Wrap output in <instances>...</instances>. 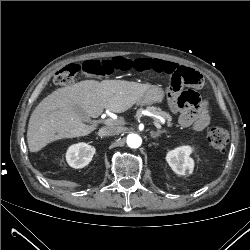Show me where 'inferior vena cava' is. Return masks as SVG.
Segmentation results:
<instances>
[{
    "label": "inferior vena cava",
    "mask_w": 250,
    "mask_h": 250,
    "mask_svg": "<svg viewBox=\"0 0 250 250\" xmlns=\"http://www.w3.org/2000/svg\"><path fill=\"white\" fill-rule=\"evenodd\" d=\"M120 133V129L118 127L107 126L103 127L99 130L100 136H112Z\"/></svg>",
    "instance_id": "602c4592"
}]
</instances>
